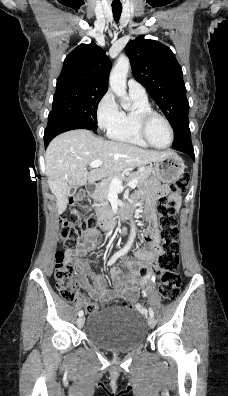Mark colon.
<instances>
[{"label":"colon","mask_w":228,"mask_h":396,"mask_svg":"<svg viewBox=\"0 0 228 396\" xmlns=\"http://www.w3.org/2000/svg\"><path fill=\"white\" fill-rule=\"evenodd\" d=\"M190 174L184 173L172 183L171 194H185L189 189ZM89 205V198L84 193L76 194L70 201V209L67 211L63 221L61 235L64 245L67 247L77 246L83 238L87 229L93 228L94 218L89 216L82 219L77 207L85 208ZM175 200L162 197L157 207L159 238L161 253L158 257V264L153 268V272L160 273V283L158 293L162 300L171 301L179 293L181 279L176 272L178 267V229L175 217ZM55 280L56 286L61 296L69 302L77 300L79 294L78 279L74 267L65 260L63 251L58 250L55 255ZM123 305L129 307L130 303L124 301ZM97 302H89L85 306L88 315L99 311Z\"/></svg>","instance_id":"colon-1"}]
</instances>
